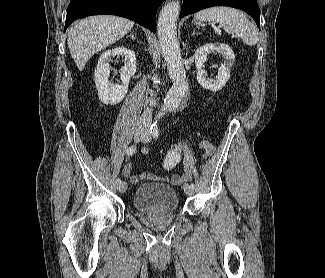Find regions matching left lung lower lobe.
<instances>
[{
	"label": "left lung lower lobe",
	"mask_w": 325,
	"mask_h": 278,
	"mask_svg": "<svg viewBox=\"0 0 325 278\" xmlns=\"http://www.w3.org/2000/svg\"><path fill=\"white\" fill-rule=\"evenodd\" d=\"M212 6H229L247 12L260 29L259 6L256 0H183L180 18Z\"/></svg>",
	"instance_id": "left-lung-lower-lobe-1"
}]
</instances>
